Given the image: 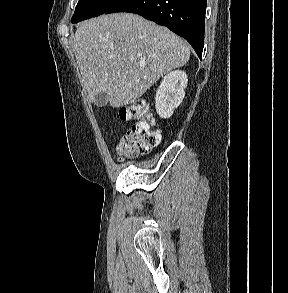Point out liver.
Segmentation results:
<instances>
[{
    "label": "liver",
    "instance_id": "obj_1",
    "mask_svg": "<svg viewBox=\"0 0 288 293\" xmlns=\"http://www.w3.org/2000/svg\"><path fill=\"white\" fill-rule=\"evenodd\" d=\"M73 49L88 101L94 102L99 92H105L114 108L133 103L190 58L186 41L132 13L82 22Z\"/></svg>",
    "mask_w": 288,
    "mask_h": 293
}]
</instances>
